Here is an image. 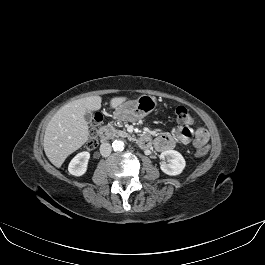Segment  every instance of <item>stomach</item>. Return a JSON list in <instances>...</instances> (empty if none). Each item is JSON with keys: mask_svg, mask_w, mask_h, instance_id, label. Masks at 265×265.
<instances>
[{"mask_svg": "<svg viewBox=\"0 0 265 265\" xmlns=\"http://www.w3.org/2000/svg\"><path fill=\"white\" fill-rule=\"evenodd\" d=\"M157 106V100L151 95H142L136 100L122 103L114 112L119 120L134 122L151 113Z\"/></svg>", "mask_w": 265, "mask_h": 265, "instance_id": "0dacf381", "label": "stomach"}]
</instances>
